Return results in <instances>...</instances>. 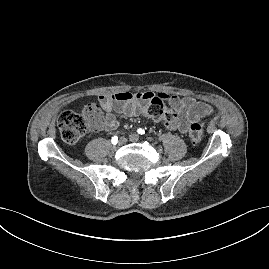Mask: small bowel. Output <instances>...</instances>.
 <instances>
[{
    "label": "small bowel",
    "instance_id": "obj_1",
    "mask_svg": "<svg viewBox=\"0 0 269 269\" xmlns=\"http://www.w3.org/2000/svg\"><path fill=\"white\" fill-rule=\"evenodd\" d=\"M154 96L151 92H119L99 96L97 107L100 111V122L96 129L113 130L117 128L118 121L114 113L136 116L143 111ZM159 96L168 101L174 116L169 120L155 119V121H161L164 127L169 130L186 133L192 123L199 122L214 111L209 104L197 101L192 97L180 98L165 94Z\"/></svg>",
    "mask_w": 269,
    "mask_h": 269
}]
</instances>
